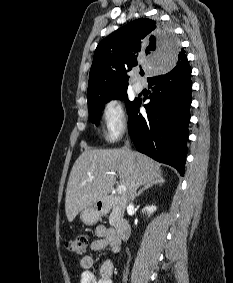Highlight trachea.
<instances>
[{
    "mask_svg": "<svg viewBox=\"0 0 233 283\" xmlns=\"http://www.w3.org/2000/svg\"><path fill=\"white\" fill-rule=\"evenodd\" d=\"M140 75L143 76V75H144V72H141Z\"/></svg>",
    "mask_w": 233,
    "mask_h": 283,
    "instance_id": "trachea-1",
    "label": "trachea"
}]
</instances>
